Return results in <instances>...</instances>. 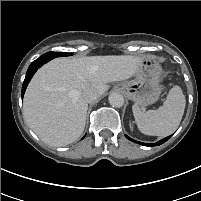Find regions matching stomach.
<instances>
[{"label": "stomach", "instance_id": "stomach-1", "mask_svg": "<svg viewBox=\"0 0 201 201\" xmlns=\"http://www.w3.org/2000/svg\"><path fill=\"white\" fill-rule=\"evenodd\" d=\"M161 67L155 57L144 58L133 80L123 82L118 89L138 107L155 103L161 93Z\"/></svg>", "mask_w": 201, "mask_h": 201}]
</instances>
